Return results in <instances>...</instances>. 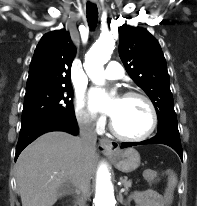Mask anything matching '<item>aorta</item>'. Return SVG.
Instances as JSON below:
<instances>
[{
  "instance_id": "762f6f07",
  "label": "aorta",
  "mask_w": 197,
  "mask_h": 206,
  "mask_svg": "<svg viewBox=\"0 0 197 206\" xmlns=\"http://www.w3.org/2000/svg\"><path fill=\"white\" fill-rule=\"evenodd\" d=\"M114 40L109 33H103L86 54L84 68L89 78L97 85L104 83V64L110 59ZM116 198L110 174L105 165L98 170L93 206H115Z\"/></svg>"
}]
</instances>
